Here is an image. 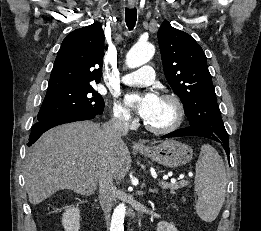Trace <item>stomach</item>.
<instances>
[{"instance_id": "obj_1", "label": "stomach", "mask_w": 261, "mask_h": 231, "mask_svg": "<svg viewBox=\"0 0 261 231\" xmlns=\"http://www.w3.org/2000/svg\"><path fill=\"white\" fill-rule=\"evenodd\" d=\"M139 152L152 161L169 168L185 165L193 157L192 148L176 140H165L157 146L140 149Z\"/></svg>"}]
</instances>
